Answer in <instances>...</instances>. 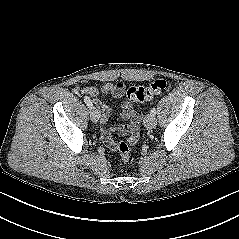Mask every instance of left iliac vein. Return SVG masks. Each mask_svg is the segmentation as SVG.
Instances as JSON below:
<instances>
[{"label":"left iliac vein","mask_w":239,"mask_h":239,"mask_svg":"<svg viewBox=\"0 0 239 239\" xmlns=\"http://www.w3.org/2000/svg\"><path fill=\"white\" fill-rule=\"evenodd\" d=\"M156 124H157V121H156L155 116H153L152 114H148L145 116L144 125L146 128L153 129V128H155Z\"/></svg>","instance_id":"left-iliac-vein-1"}]
</instances>
